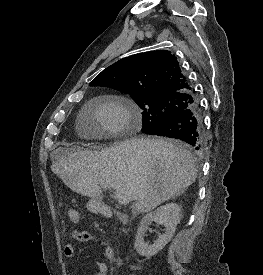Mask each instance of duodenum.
<instances>
[{
	"mask_svg": "<svg viewBox=\"0 0 263 275\" xmlns=\"http://www.w3.org/2000/svg\"><path fill=\"white\" fill-rule=\"evenodd\" d=\"M102 211H103V214L107 217H110L112 215L111 210L107 207H103Z\"/></svg>",
	"mask_w": 263,
	"mask_h": 275,
	"instance_id": "410a0bca",
	"label": "duodenum"
}]
</instances>
